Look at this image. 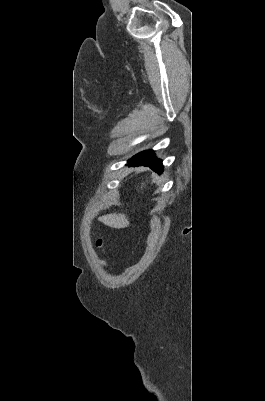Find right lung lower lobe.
<instances>
[{
  "instance_id": "98d812e1",
  "label": "right lung lower lobe",
  "mask_w": 265,
  "mask_h": 401,
  "mask_svg": "<svg viewBox=\"0 0 265 401\" xmlns=\"http://www.w3.org/2000/svg\"><path fill=\"white\" fill-rule=\"evenodd\" d=\"M129 165H144L149 166L155 172L159 174L163 171L162 160L158 159L152 150L143 151L133 156L128 160Z\"/></svg>"
}]
</instances>
